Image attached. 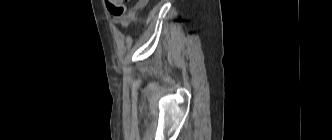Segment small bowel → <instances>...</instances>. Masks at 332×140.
Instances as JSON below:
<instances>
[{
	"mask_svg": "<svg viewBox=\"0 0 332 140\" xmlns=\"http://www.w3.org/2000/svg\"><path fill=\"white\" fill-rule=\"evenodd\" d=\"M135 12H136V8L131 9L130 12L126 16L119 19V21H118L119 24L124 28L128 27L130 25V23L132 22L133 18L135 17Z\"/></svg>",
	"mask_w": 332,
	"mask_h": 140,
	"instance_id": "obj_1",
	"label": "small bowel"
}]
</instances>
